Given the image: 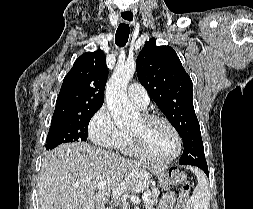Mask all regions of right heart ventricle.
<instances>
[{"label":"right heart ventricle","mask_w":253,"mask_h":209,"mask_svg":"<svg viewBox=\"0 0 253 209\" xmlns=\"http://www.w3.org/2000/svg\"><path fill=\"white\" fill-rule=\"evenodd\" d=\"M121 149L129 155H132V156L138 155L133 147L131 137L128 134H127V140H126L125 144L121 147Z\"/></svg>","instance_id":"obj_1"}]
</instances>
